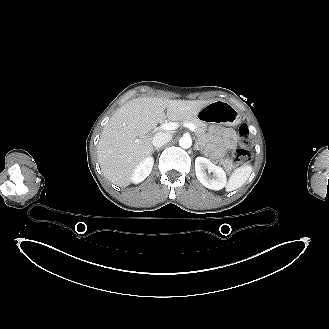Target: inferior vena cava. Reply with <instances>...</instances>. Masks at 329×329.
<instances>
[{
  "mask_svg": "<svg viewBox=\"0 0 329 329\" xmlns=\"http://www.w3.org/2000/svg\"><path fill=\"white\" fill-rule=\"evenodd\" d=\"M172 140V135L168 132H158L154 135L152 143L156 148H160Z\"/></svg>",
  "mask_w": 329,
  "mask_h": 329,
  "instance_id": "inferior-vena-cava-1",
  "label": "inferior vena cava"
}]
</instances>
